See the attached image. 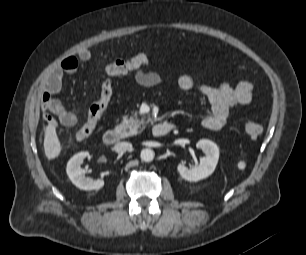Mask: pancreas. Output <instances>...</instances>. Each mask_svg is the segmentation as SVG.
<instances>
[{"label": "pancreas", "instance_id": "obj_1", "mask_svg": "<svg viewBox=\"0 0 306 255\" xmlns=\"http://www.w3.org/2000/svg\"><path fill=\"white\" fill-rule=\"evenodd\" d=\"M148 123L149 120H146L145 117L139 118L136 115L128 117L126 115L122 117V121L117 128L120 131V137L126 138L138 134Z\"/></svg>", "mask_w": 306, "mask_h": 255}]
</instances>
